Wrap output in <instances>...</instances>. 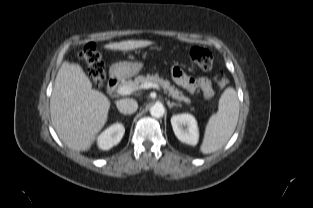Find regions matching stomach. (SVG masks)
Instances as JSON below:
<instances>
[{
    "instance_id": "1",
    "label": "stomach",
    "mask_w": 313,
    "mask_h": 208,
    "mask_svg": "<svg viewBox=\"0 0 313 208\" xmlns=\"http://www.w3.org/2000/svg\"><path fill=\"white\" fill-rule=\"evenodd\" d=\"M143 68L142 62H119L112 66L111 72L118 77H132Z\"/></svg>"
}]
</instances>
